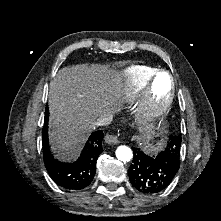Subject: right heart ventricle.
Segmentation results:
<instances>
[{"instance_id": "1", "label": "right heart ventricle", "mask_w": 221, "mask_h": 221, "mask_svg": "<svg viewBox=\"0 0 221 221\" xmlns=\"http://www.w3.org/2000/svg\"><path fill=\"white\" fill-rule=\"evenodd\" d=\"M156 72V68L148 66H134L130 68L128 74L131 76L133 85L132 93L135 94L143 90Z\"/></svg>"}]
</instances>
